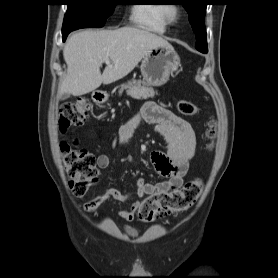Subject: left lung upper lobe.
<instances>
[{
	"instance_id": "1",
	"label": "left lung upper lobe",
	"mask_w": 278,
	"mask_h": 278,
	"mask_svg": "<svg viewBox=\"0 0 278 278\" xmlns=\"http://www.w3.org/2000/svg\"><path fill=\"white\" fill-rule=\"evenodd\" d=\"M184 8L189 13V21L196 34V49L202 53H207V38L204 25L206 13V0H182Z\"/></svg>"
}]
</instances>
